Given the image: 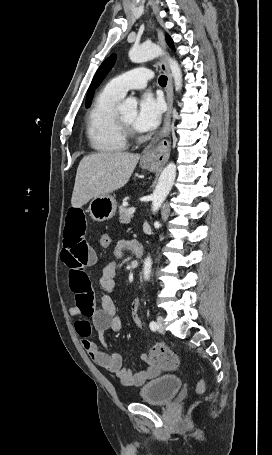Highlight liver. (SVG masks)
<instances>
[{"mask_svg":"<svg viewBox=\"0 0 272 455\" xmlns=\"http://www.w3.org/2000/svg\"><path fill=\"white\" fill-rule=\"evenodd\" d=\"M139 154L101 152L85 156L77 168L71 198L73 207H82L91 199L122 188L129 181Z\"/></svg>","mask_w":272,"mask_h":455,"instance_id":"liver-1","label":"liver"}]
</instances>
